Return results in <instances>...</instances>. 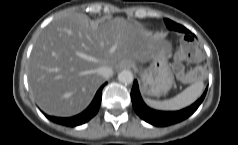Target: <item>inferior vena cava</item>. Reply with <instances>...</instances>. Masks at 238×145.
I'll return each mask as SVG.
<instances>
[{
    "instance_id": "1",
    "label": "inferior vena cava",
    "mask_w": 238,
    "mask_h": 145,
    "mask_svg": "<svg viewBox=\"0 0 238 145\" xmlns=\"http://www.w3.org/2000/svg\"><path fill=\"white\" fill-rule=\"evenodd\" d=\"M98 75L102 76L105 79H108L112 76L113 70L108 66H101L97 69Z\"/></svg>"
}]
</instances>
